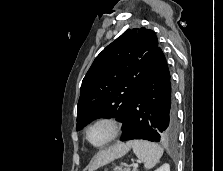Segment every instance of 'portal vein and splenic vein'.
<instances>
[{"label": "portal vein and splenic vein", "mask_w": 223, "mask_h": 171, "mask_svg": "<svg viewBox=\"0 0 223 171\" xmlns=\"http://www.w3.org/2000/svg\"><path fill=\"white\" fill-rule=\"evenodd\" d=\"M133 167L134 168H137L138 167V164L137 163H133Z\"/></svg>", "instance_id": "portal-vein-and-splenic-vein-1"}]
</instances>
